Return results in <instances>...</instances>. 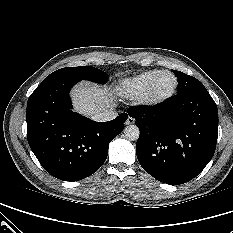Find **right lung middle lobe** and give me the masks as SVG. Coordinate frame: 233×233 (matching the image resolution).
<instances>
[{"mask_svg": "<svg viewBox=\"0 0 233 233\" xmlns=\"http://www.w3.org/2000/svg\"><path fill=\"white\" fill-rule=\"evenodd\" d=\"M62 78H74L77 80L85 79L104 84L108 80V75L104 71L91 66L61 68L48 75L38 87Z\"/></svg>", "mask_w": 233, "mask_h": 233, "instance_id": "dd1d6c3e", "label": "right lung middle lobe"}]
</instances>
